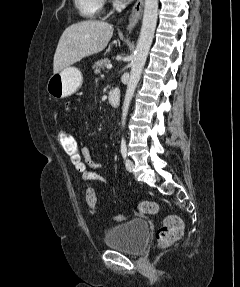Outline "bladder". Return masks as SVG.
<instances>
[{
	"mask_svg": "<svg viewBox=\"0 0 240 287\" xmlns=\"http://www.w3.org/2000/svg\"><path fill=\"white\" fill-rule=\"evenodd\" d=\"M149 234L150 227L146 220L131 219L109 228L105 233L104 243L109 248L139 255L146 249Z\"/></svg>",
	"mask_w": 240,
	"mask_h": 287,
	"instance_id": "bladder-1",
	"label": "bladder"
}]
</instances>
